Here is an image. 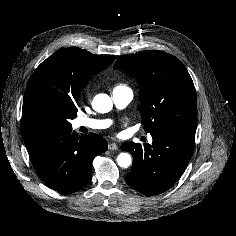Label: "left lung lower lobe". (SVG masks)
Listing matches in <instances>:
<instances>
[{
  "label": "left lung lower lobe",
  "mask_w": 236,
  "mask_h": 236,
  "mask_svg": "<svg viewBox=\"0 0 236 236\" xmlns=\"http://www.w3.org/2000/svg\"><path fill=\"white\" fill-rule=\"evenodd\" d=\"M150 134L151 145L133 141L121 145L122 150L133 156L127 183L147 196L163 193L179 180L192 156L195 139V133L182 130Z\"/></svg>",
  "instance_id": "left-lung-lower-lobe-1"
}]
</instances>
